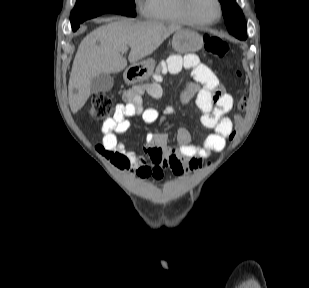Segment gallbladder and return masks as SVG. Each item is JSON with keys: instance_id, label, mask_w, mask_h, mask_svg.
<instances>
[{"instance_id": "bac80fb5", "label": "gallbladder", "mask_w": 309, "mask_h": 288, "mask_svg": "<svg viewBox=\"0 0 309 288\" xmlns=\"http://www.w3.org/2000/svg\"><path fill=\"white\" fill-rule=\"evenodd\" d=\"M114 79L110 74H100L91 82V93L108 92L112 89Z\"/></svg>"}]
</instances>
